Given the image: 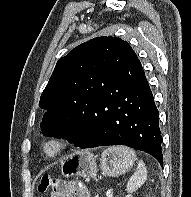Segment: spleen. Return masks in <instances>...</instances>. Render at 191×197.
Returning <instances> with one entry per match:
<instances>
[{
    "label": "spleen",
    "mask_w": 191,
    "mask_h": 197,
    "mask_svg": "<svg viewBox=\"0 0 191 197\" xmlns=\"http://www.w3.org/2000/svg\"><path fill=\"white\" fill-rule=\"evenodd\" d=\"M109 150L122 156L125 162H129L133 164V162L136 160L135 152L128 147L116 146V147L109 148ZM146 179H147L146 166L143 161H139L136 171L128 180V183L126 186L127 192L132 193L138 188H140L144 184Z\"/></svg>",
    "instance_id": "3e777b00"
}]
</instances>
